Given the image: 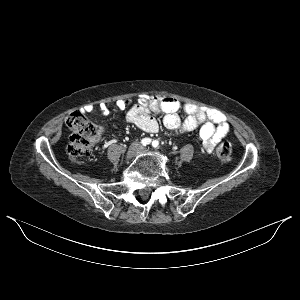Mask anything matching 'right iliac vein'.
I'll use <instances>...</instances> for the list:
<instances>
[{
	"label": "right iliac vein",
	"instance_id": "63e3f726",
	"mask_svg": "<svg viewBox=\"0 0 300 300\" xmlns=\"http://www.w3.org/2000/svg\"><path fill=\"white\" fill-rule=\"evenodd\" d=\"M138 150L139 145L137 143H133L127 151L126 159L130 160L131 158H133L137 154Z\"/></svg>",
	"mask_w": 300,
	"mask_h": 300
}]
</instances>
